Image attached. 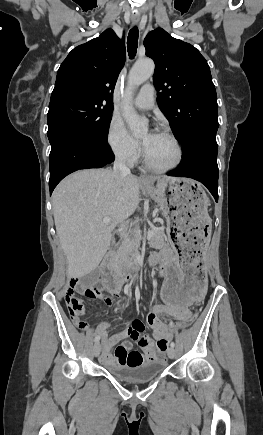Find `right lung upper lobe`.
<instances>
[{"label": "right lung upper lobe", "mask_w": 263, "mask_h": 435, "mask_svg": "<svg viewBox=\"0 0 263 435\" xmlns=\"http://www.w3.org/2000/svg\"><path fill=\"white\" fill-rule=\"evenodd\" d=\"M125 59L124 37L120 40L111 29L77 46L58 70L49 106L72 100L112 103Z\"/></svg>", "instance_id": "obj_1"}]
</instances>
